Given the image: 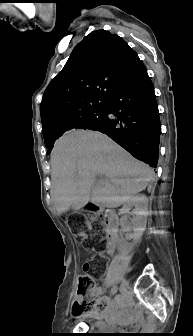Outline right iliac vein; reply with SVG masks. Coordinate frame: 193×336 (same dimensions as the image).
<instances>
[{"instance_id":"right-iliac-vein-1","label":"right iliac vein","mask_w":193,"mask_h":336,"mask_svg":"<svg viewBox=\"0 0 193 336\" xmlns=\"http://www.w3.org/2000/svg\"><path fill=\"white\" fill-rule=\"evenodd\" d=\"M128 285H129L128 281L127 280H123L122 283H121V285H120V291L122 293L126 292V290L128 288Z\"/></svg>"}]
</instances>
